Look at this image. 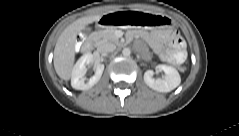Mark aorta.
I'll return each instance as SVG.
<instances>
[{
	"label": "aorta",
	"instance_id": "1",
	"mask_svg": "<svg viewBox=\"0 0 239 136\" xmlns=\"http://www.w3.org/2000/svg\"><path fill=\"white\" fill-rule=\"evenodd\" d=\"M122 54H123L124 56H129V55L131 54V50H130L129 48H124V49L122 50Z\"/></svg>",
	"mask_w": 239,
	"mask_h": 136
}]
</instances>
